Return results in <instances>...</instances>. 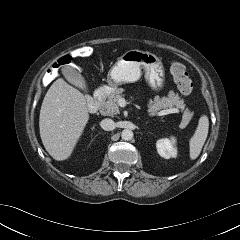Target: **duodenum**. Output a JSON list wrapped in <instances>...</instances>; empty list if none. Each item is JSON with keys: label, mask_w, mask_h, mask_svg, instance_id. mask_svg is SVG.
Instances as JSON below:
<instances>
[{"label": "duodenum", "mask_w": 240, "mask_h": 240, "mask_svg": "<svg viewBox=\"0 0 240 240\" xmlns=\"http://www.w3.org/2000/svg\"><path fill=\"white\" fill-rule=\"evenodd\" d=\"M108 90L107 86H101L99 87L94 95L87 100V107L91 112H96L101 104V101Z\"/></svg>", "instance_id": "1"}]
</instances>
